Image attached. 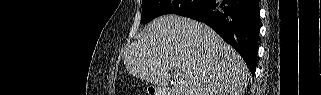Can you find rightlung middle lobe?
<instances>
[{"instance_id": "obj_1", "label": "right lung middle lobe", "mask_w": 321, "mask_h": 95, "mask_svg": "<svg viewBox=\"0 0 321 95\" xmlns=\"http://www.w3.org/2000/svg\"><path fill=\"white\" fill-rule=\"evenodd\" d=\"M207 0H143L142 23L165 14L187 16L195 14Z\"/></svg>"}]
</instances>
